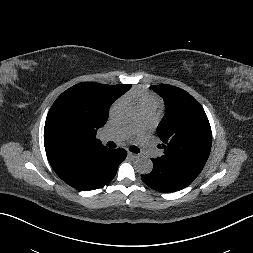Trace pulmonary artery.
Returning <instances> with one entry per match:
<instances>
[{
	"mask_svg": "<svg viewBox=\"0 0 253 253\" xmlns=\"http://www.w3.org/2000/svg\"><path fill=\"white\" fill-rule=\"evenodd\" d=\"M154 110L151 109H141L137 113V122L140 126L145 127L151 118L153 117ZM127 137V134L123 131H120L116 134H110V133H105L101 136L102 141H121ZM142 146L144 148V151L146 155L148 156H154L157 153V150L147 144L145 141L142 143Z\"/></svg>",
	"mask_w": 253,
	"mask_h": 253,
	"instance_id": "1",
	"label": "pulmonary artery"
}]
</instances>
